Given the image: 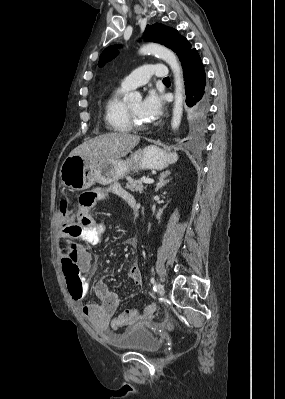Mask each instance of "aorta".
I'll use <instances>...</instances> for the list:
<instances>
[{"label":"aorta","mask_w":285,"mask_h":399,"mask_svg":"<svg viewBox=\"0 0 285 399\" xmlns=\"http://www.w3.org/2000/svg\"><path fill=\"white\" fill-rule=\"evenodd\" d=\"M139 53L142 55H155L162 60H164L171 68L174 74V84H175V96H174V106H173V114L171 120V127L173 130L178 129L181 123V118L183 114V99H184V81L182 75L181 65L176 54L156 43H148L143 45ZM141 94L139 92H131L126 96V100L129 102H133L136 100H140Z\"/></svg>","instance_id":"1"}]
</instances>
